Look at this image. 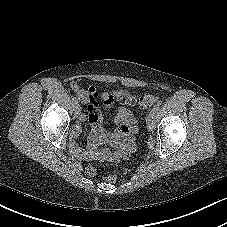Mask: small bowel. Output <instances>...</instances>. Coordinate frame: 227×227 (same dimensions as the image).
<instances>
[{
	"label": "small bowel",
	"mask_w": 227,
	"mask_h": 227,
	"mask_svg": "<svg viewBox=\"0 0 227 227\" xmlns=\"http://www.w3.org/2000/svg\"><path fill=\"white\" fill-rule=\"evenodd\" d=\"M76 93L79 100L86 106V110L71 130L69 146L72 154L78 158L100 160H120L128 157L134 149L133 133L136 130V118L133 112L125 106H118L114 119L116 128L113 132H107L103 127L102 115L97 110L98 99L102 100L104 106L111 108L120 104L114 100L113 94L99 93L93 86L78 89ZM133 103L134 98L131 96V102L128 104ZM86 120L92 126V133L87 148H82L76 143V139L81 133L82 122ZM107 142L116 150L99 149Z\"/></svg>",
	"instance_id": "obj_1"
}]
</instances>
